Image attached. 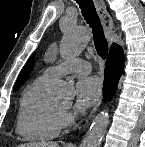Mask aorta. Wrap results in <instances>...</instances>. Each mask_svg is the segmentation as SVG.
<instances>
[{"label":"aorta","mask_w":145,"mask_h":147,"mask_svg":"<svg viewBox=\"0 0 145 147\" xmlns=\"http://www.w3.org/2000/svg\"><path fill=\"white\" fill-rule=\"evenodd\" d=\"M89 40L90 34L86 28L79 26L67 27L60 45L62 57L68 59L79 55L87 46ZM70 94L71 85L64 81H60L53 90V95L58 99H64ZM108 123L109 114L107 111H102L96 115L83 141L82 147H100Z\"/></svg>","instance_id":"obj_1"}]
</instances>
